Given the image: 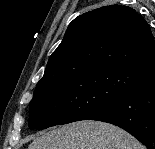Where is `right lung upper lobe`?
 <instances>
[{
    "label": "right lung upper lobe",
    "instance_id": "cb5924a9",
    "mask_svg": "<svg viewBox=\"0 0 155 149\" xmlns=\"http://www.w3.org/2000/svg\"><path fill=\"white\" fill-rule=\"evenodd\" d=\"M108 68L130 69L145 77L155 75L152 32L130 7L104 6L74 19L40 81Z\"/></svg>",
    "mask_w": 155,
    "mask_h": 149
}]
</instances>
